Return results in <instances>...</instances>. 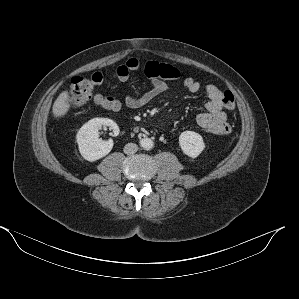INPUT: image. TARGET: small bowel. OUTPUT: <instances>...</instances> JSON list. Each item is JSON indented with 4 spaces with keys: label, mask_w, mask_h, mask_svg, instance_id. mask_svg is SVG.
Wrapping results in <instances>:
<instances>
[{
    "label": "small bowel",
    "mask_w": 299,
    "mask_h": 299,
    "mask_svg": "<svg viewBox=\"0 0 299 299\" xmlns=\"http://www.w3.org/2000/svg\"><path fill=\"white\" fill-rule=\"evenodd\" d=\"M140 69L141 65L138 59L130 58L125 64L116 67L112 72V76L124 82L129 79L132 72ZM144 73L150 78V88L141 95H129L121 101L111 96L95 93L93 95L94 103L109 111H118L123 105L130 109H140L165 92L168 88V81L181 79V73L178 69L157 61L148 62L144 67ZM182 82L190 92L196 93L202 89L201 84L191 77L182 79ZM204 92L208 100L205 103V112H201L196 116L197 124L214 135L228 134L231 128L227 122V115L223 110L224 92L213 84L206 85Z\"/></svg>",
    "instance_id": "obj_1"
}]
</instances>
